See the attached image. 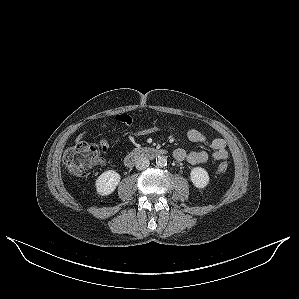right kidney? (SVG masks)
I'll return each mask as SVG.
<instances>
[{"instance_id": "1", "label": "right kidney", "mask_w": 299, "mask_h": 299, "mask_svg": "<svg viewBox=\"0 0 299 299\" xmlns=\"http://www.w3.org/2000/svg\"><path fill=\"white\" fill-rule=\"evenodd\" d=\"M120 179V175L114 170L103 172L95 182L97 193L103 196L111 194L118 186Z\"/></svg>"}]
</instances>
